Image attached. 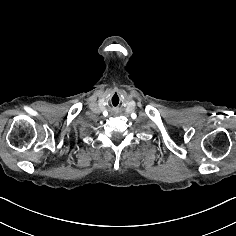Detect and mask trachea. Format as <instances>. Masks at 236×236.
<instances>
[{
	"label": "trachea",
	"instance_id": "trachea-1",
	"mask_svg": "<svg viewBox=\"0 0 236 236\" xmlns=\"http://www.w3.org/2000/svg\"><path fill=\"white\" fill-rule=\"evenodd\" d=\"M122 98L119 95H112L109 99H108V106L111 109H118L121 105H122Z\"/></svg>",
	"mask_w": 236,
	"mask_h": 236
}]
</instances>
